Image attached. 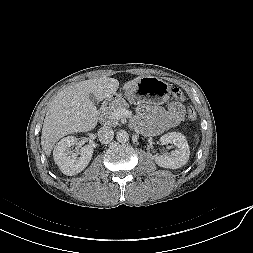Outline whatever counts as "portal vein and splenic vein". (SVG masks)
<instances>
[{"label": "portal vein and splenic vein", "mask_w": 253, "mask_h": 253, "mask_svg": "<svg viewBox=\"0 0 253 253\" xmlns=\"http://www.w3.org/2000/svg\"><path fill=\"white\" fill-rule=\"evenodd\" d=\"M128 115H130V112L128 110L120 109V110L115 111V113L113 114V117L114 118H123Z\"/></svg>", "instance_id": "1"}]
</instances>
